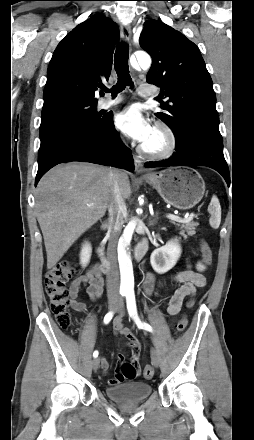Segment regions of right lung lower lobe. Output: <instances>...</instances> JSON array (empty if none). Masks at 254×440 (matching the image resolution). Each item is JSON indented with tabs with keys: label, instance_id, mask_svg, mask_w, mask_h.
<instances>
[{
	"label": "right lung lower lobe",
	"instance_id": "obj_1",
	"mask_svg": "<svg viewBox=\"0 0 254 440\" xmlns=\"http://www.w3.org/2000/svg\"><path fill=\"white\" fill-rule=\"evenodd\" d=\"M101 121L95 131L65 136L39 153L35 186L49 169L70 161L90 162L134 171L131 151L119 139L111 116L106 115Z\"/></svg>",
	"mask_w": 254,
	"mask_h": 440
}]
</instances>
